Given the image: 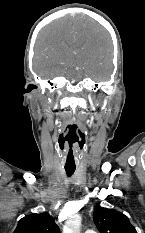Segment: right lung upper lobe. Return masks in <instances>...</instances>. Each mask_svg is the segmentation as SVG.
<instances>
[{
	"mask_svg": "<svg viewBox=\"0 0 145 233\" xmlns=\"http://www.w3.org/2000/svg\"><path fill=\"white\" fill-rule=\"evenodd\" d=\"M14 233H60V229L48 213H33L18 222Z\"/></svg>",
	"mask_w": 145,
	"mask_h": 233,
	"instance_id": "obj_1",
	"label": "right lung upper lobe"
}]
</instances>
